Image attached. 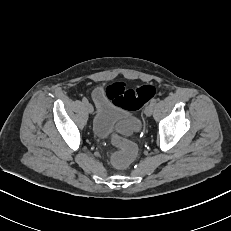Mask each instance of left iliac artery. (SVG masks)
Instances as JSON below:
<instances>
[{
	"label": "left iliac artery",
	"mask_w": 231,
	"mask_h": 231,
	"mask_svg": "<svg viewBox=\"0 0 231 231\" xmlns=\"http://www.w3.org/2000/svg\"><path fill=\"white\" fill-rule=\"evenodd\" d=\"M156 102H157V99H155V98L151 100V103L154 105L156 104Z\"/></svg>",
	"instance_id": "left-iliac-artery-1"
}]
</instances>
